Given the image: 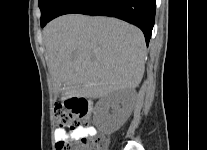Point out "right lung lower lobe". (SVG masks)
<instances>
[{"label":"right lung lower lobe","instance_id":"right-lung-lower-lobe-1","mask_svg":"<svg viewBox=\"0 0 207 150\" xmlns=\"http://www.w3.org/2000/svg\"><path fill=\"white\" fill-rule=\"evenodd\" d=\"M155 9L156 0H63L50 20L68 13L116 17L139 27L148 45ZM46 23L41 26L44 27Z\"/></svg>","mask_w":207,"mask_h":150}]
</instances>
